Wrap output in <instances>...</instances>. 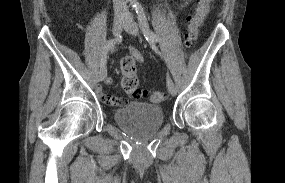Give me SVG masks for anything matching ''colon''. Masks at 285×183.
Listing matches in <instances>:
<instances>
[{
    "mask_svg": "<svg viewBox=\"0 0 285 183\" xmlns=\"http://www.w3.org/2000/svg\"><path fill=\"white\" fill-rule=\"evenodd\" d=\"M212 0H196V7L194 11L187 17L188 33L186 36L185 44L188 48H191L198 38V31L202 25L204 18L206 17L209 6ZM121 74V86L123 90L134 98L147 97L152 103L164 102L168 96L164 91H144L140 87L139 79L137 77V65L133 57H124L120 64ZM112 103L115 105H121L122 100L113 97Z\"/></svg>",
    "mask_w": 285,
    "mask_h": 183,
    "instance_id": "obj_1",
    "label": "colon"
}]
</instances>
